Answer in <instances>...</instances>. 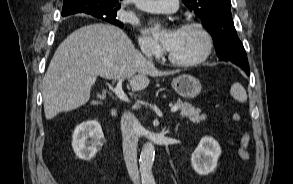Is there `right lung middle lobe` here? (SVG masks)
Returning a JSON list of instances; mask_svg holds the SVG:
<instances>
[{
  "label": "right lung middle lobe",
  "mask_w": 293,
  "mask_h": 184,
  "mask_svg": "<svg viewBox=\"0 0 293 184\" xmlns=\"http://www.w3.org/2000/svg\"><path fill=\"white\" fill-rule=\"evenodd\" d=\"M116 12H117V10H112V9L100 10V9L96 8V13H97V15H99V17L103 18V15H105V16H107V17H105L106 19L118 22V20L115 19Z\"/></svg>",
  "instance_id": "dd1d6c3e"
}]
</instances>
